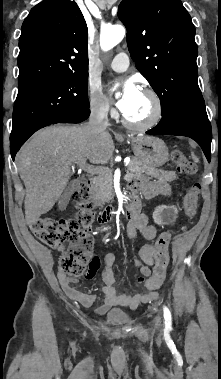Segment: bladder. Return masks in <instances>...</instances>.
<instances>
[{
    "instance_id": "bladder-1",
    "label": "bladder",
    "mask_w": 221,
    "mask_h": 379,
    "mask_svg": "<svg viewBox=\"0 0 221 379\" xmlns=\"http://www.w3.org/2000/svg\"><path fill=\"white\" fill-rule=\"evenodd\" d=\"M130 316L125 311L114 308L107 312L106 319L115 324L125 323L129 320Z\"/></svg>"
}]
</instances>
